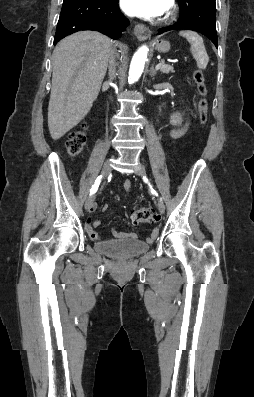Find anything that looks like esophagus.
Listing matches in <instances>:
<instances>
[{"instance_id":"34e87169","label":"esophagus","mask_w":254,"mask_h":397,"mask_svg":"<svg viewBox=\"0 0 254 397\" xmlns=\"http://www.w3.org/2000/svg\"><path fill=\"white\" fill-rule=\"evenodd\" d=\"M134 34L140 41H144L150 37L151 31L146 25L137 24L134 28Z\"/></svg>"}]
</instances>
